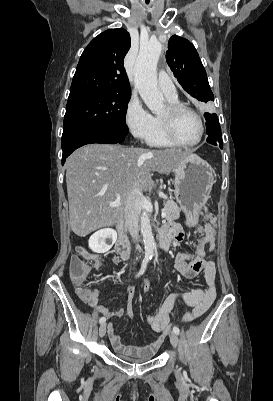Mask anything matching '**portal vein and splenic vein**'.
I'll return each instance as SVG.
<instances>
[{
  "label": "portal vein and splenic vein",
  "mask_w": 273,
  "mask_h": 401,
  "mask_svg": "<svg viewBox=\"0 0 273 401\" xmlns=\"http://www.w3.org/2000/svg\"><path fill=\"white\" fill-rule=\"evenodd\" d=\"M121 205H123V203H121V201H114V203H109V207H121ZM160 212H161L162 219H165V217H166L165 209L161 208Z\"/></svg>",
  "instance_id": "1"
}]
</instances>
